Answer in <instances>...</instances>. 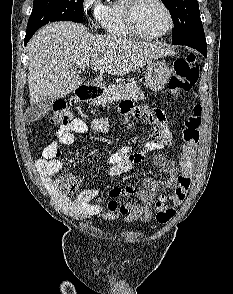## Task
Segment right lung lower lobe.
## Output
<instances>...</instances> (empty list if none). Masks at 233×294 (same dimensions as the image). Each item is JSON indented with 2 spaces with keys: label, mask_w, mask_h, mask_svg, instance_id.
<instances>
[{
  "label": "right lung lower lobe",
  "mask_w": 233,
  "mask_h": 294,
  "mask_svg": "<svg viewBox=\"0 0 233 294\" xmlns=\"http://www.w3.org/2000/svg\"><path fill=\"white\" fill-rule=\"evenodd\" d=\"M33 34H29L26 33V37H25V45L27 44V42L29 41V39L32 37Z\"/></svg>",
  "instance_id": "obj_1"
}]
</instances>
